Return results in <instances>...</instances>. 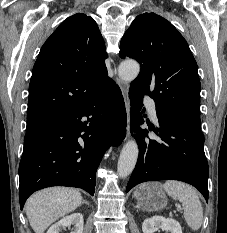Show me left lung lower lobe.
Masks as SVG:
<instances>
[{
	"label": "left lung lower lobe",
	"mask_w": 227,
	"mask_h": 233,
	"mask_svg": "<svg viewBox=\"0 0 227 233\" xmlns=\"http://www.w3.org/2000/svg\"><path fill=\"white\" fill-rule=\"evenodd\" d=\"M143 95L129 89L131 101V131L139 145L135 169L126 187L128 192L135 185L154 180H180L195 186L208 202V162L204 153V135L201 130L179 120L156 106L158 128H149L160 139L148 137V130L138 127L142 118Z\"/></svg>",
	"instance_id": "1"
}]
</instances>
